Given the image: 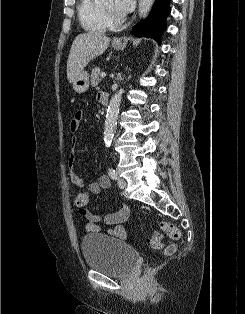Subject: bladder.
Listing matches in <instances>:
<instances>
[{"mask_svg":"<svg viewBox=\"0 0 245 314\" xmlns=\"http://www.w3.org/2000/svg\"><path fill=\"white\" fill-rule=\"evenodd\" d=\"M86 265L107 275H124L138 259V252L128 244L100 234H87L82 240Z\"/></svg>","mask_w":245,"mask_h":314,"instance_id":"1","label":"bladder"}]
</instances>
